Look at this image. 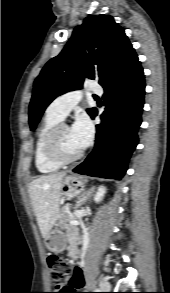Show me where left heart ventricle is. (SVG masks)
<instances>
[{
    "label": "left heart ventricle",
    "instance_id": "obj_1",
    "mask_svg": "<svg viewBox=\"0 0 170 293\" xmlns=\"http://www.w3.org/2000/svg\"><path fill=\"white\" fill-rule=\"evenodd\" d=\"M58 138L60 152L63 156L71 157L81 150L75 143L68 127L61 128Z\"/></svg>",
    "mask_w": 170,
    "mask_h": 293
}]
</instances>
